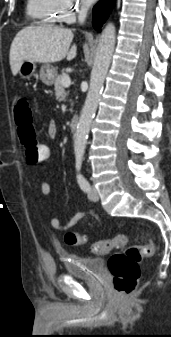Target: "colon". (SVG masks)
<instances>
[{
    "mask_svg": "<svg viewBox=\"0 0 171 337\" xmlns=\"http://www.w3.org/2000/svg\"><path fill=\"white\" fill-rule=\"evenodd\" d=\"M15 122L18 127V136L23 145L25 159L29 165H35L42 161H50L53 149L45 144L42 137L36 136L33 125V117L28 101L20 99L15 107ZM86 236L77 232H67L65 242L72 246H80L86 243ZM128 236L120 233L112 238L102 239L94 242L91 249L96 254L111 252L118 246H126ZM155 245L148 242L144 245L128 246L123 252L114 253L109 261L108 267L113 277V285L119 296L126 297L132 294L140 278V260L154 252Z\"/></svg>",
    "mask_w": 171,
    "mask_h": 337,
    "instance_id": "1",
    "label": "colon"
}]
</instances>
